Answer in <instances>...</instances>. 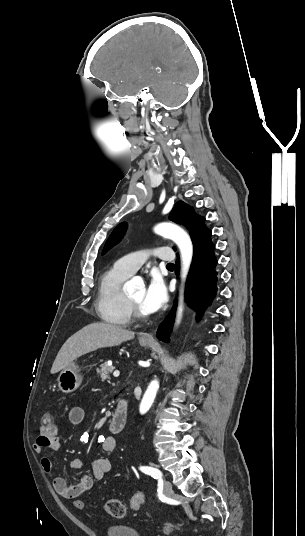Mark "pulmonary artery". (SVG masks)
<instances>
[{
	"instance_id": "e3ab8cb5",
	"label": "pulmonary artery",
	"mask_w": 305,
	"mask_h": 536,
	"mask_svg": "<svg viewBox=\"0 0 305 536\" xmlns=\"http://www.w3.org/2000/svg\"><path fill=\"white\" fill-rule=\"evenodd\" d=\"M153 251V248H150ZM142 253H146V250H142ZM157 257L162 263L168 264L175 260L173 254V248L171 245L166 244L160 246L157 250ZM147 260V257L138 256L137 253L128 254L115 263V267L126 275H133Z\"/></svg>"
}]
</instances>
